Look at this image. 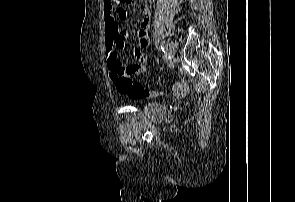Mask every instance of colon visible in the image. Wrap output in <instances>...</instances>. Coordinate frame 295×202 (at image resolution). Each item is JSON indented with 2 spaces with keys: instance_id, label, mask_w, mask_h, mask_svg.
Here are the masks:
<instances>
[{
  "instance_id": "5ec220e1",
  "label": "colon",
  "mask_w": 295,
  "mask_h": 202,
  "mask_svg": "<svg viewBox=\"0 0 295 202\" xmlns=\"http://www.w3.org/2000/svg\"><path fill=\"white\" fill-rule=\"evenodd\" d=\"M125 2L129 0H123ZM116 76L117 90L131 99L139 100L150 97L166 95V91H152L144 88L140 83L133 80L131 68L128 65L115 64L112 67Z\"/></svg>"
}]
</instances>
